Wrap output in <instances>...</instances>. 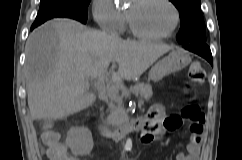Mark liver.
I'll list each match as a JSON object with an SVG mask.
<instances>
[{"mask_svg": "<svg viewBox=\"0 0 242 160\" xmlns=\"http://www.w3.org/2000/svg\"><path fill=\"white\" fill-rule=\"evenodd\" d=\"M174 47L151 42L124 41L90 30L71 19H54L29 36L24 74L32 119H60L92 105L96 96L85 83L106 74L121 87L123 80L139 78L159 57ZM114 63L118 69L114 71Z\"/></svg>", "mask_w": 242, "mask_h": 160, "instance_id": "obj_1", "label": "liver"}]
</instances>
